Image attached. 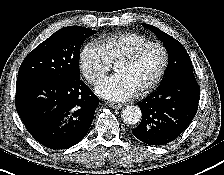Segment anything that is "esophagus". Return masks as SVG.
Listing matches in <instances>:
<instances>
[{
	"label": "esophagus",
	"mask_w": 224,
	"mask_h": 175,
	"mask_svg": "<svg viewBox=\"0 0 224 175\" xmlns=\"http://www.w3.org/2000/svg\"><path fill=\"white\" fill-rule=\"evenodd\" d=\"M108 105H109V107H111L113 109H120L122 107V104H119V103L109 102Z\"/></svg>",
	"instance_id": "1"
}]
</instances>
